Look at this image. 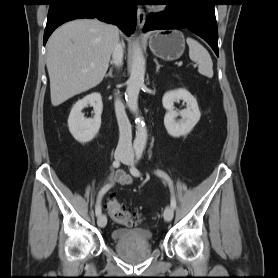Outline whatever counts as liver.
Wrapping results in <instances>:
<instances>
[{"instance_id":"liver-1","label":"liver","mask_w":278,"mask_h":278,"mask_svg":"<svg viewBox=\"0 0 278 278\" xmlns=\"http://www.w3.org/2000/svg\"><path fill=\"white\" fill-rule=\"evenodd\" d=\"M118 41V29L97 19H76L56 29L46 60L52 105L97 86Z\"/></svg>"}]
</instances>
